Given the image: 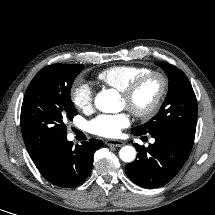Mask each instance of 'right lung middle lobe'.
Here are the masks:
<instances>
[{
	"label": "right lung middle lobe",
	"mask_w": 215,
	"mask_h": 215,
	"mask_svg": "<svg viewBox=\"0 0 215 215\" xmlns=\"http://www.w3.org/2000/svg\"><path fill=\"white\" fill-rule=\"evenodd\" d=\"M83 65L53 64L41 69L28 86L21 108V130L29 151L50 150L66 138L65 122L77 114L71 86Z\"/></svg>",
	"instance_id": "obj_1"
}]
</instances>
